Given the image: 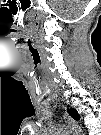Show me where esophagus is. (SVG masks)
<instances>
[{"mask_svg":"<svg viewBox=\"0 0 101 135\" xmlns=\"http://www.w3.org/2000/svg\"><path fill=\"white\" fill-rule=\"evenodd\" d=\"M68 120H69V123L72 127V130L80 131V127L78 126V124L74 120H72L70 117H68Z\"/></svg>","mask_w":101,"mask_h":135,"instance_id":"obj_1","label":"esophagus"}]
</instances>
